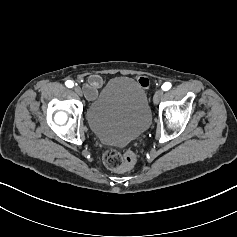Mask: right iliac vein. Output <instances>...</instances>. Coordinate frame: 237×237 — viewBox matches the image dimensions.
Here are the masks:
<instances>
[{
    "mask_svg": "<svg viewBox=\"0 0 237 237\" xmlns=\"http://www.w3.org/2000/svg\"><path fill=\"white\" fill-rule=\"evenodd\" d=\"M74 91H75V93H76L77 95L82 96V90H81L80 87L75 86V87H74Z\"/></svg>",
    "mask_w": 237,
    "mask_h": 237,
    "instance_id": "right-iliac-vein-1",
    "label": "right iliac vein"
}]
</instances>
